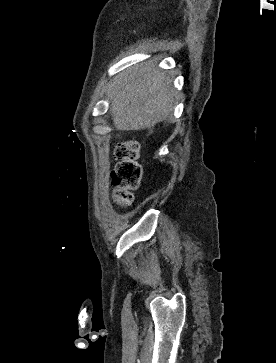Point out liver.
I'll list each match as a JSON object with an SVG mask.
<instances>
[{
    "label": "liver",
    "mask_w": 276,
    "mask_h": 363,
    "mask_svg": "<svg viewBox=\"0 0 276 363\" xmlns=\"http://www.w3.org/2000/svg\"><path fill=\"white\" fill-rule=\"evenodd\" d=\"M177 96L172 79L153 64H141L121 73L110 91L116 129L142 130L170 117Z\"/></svg>",
    "instance_id": "liver-1"
}]
</instances>
